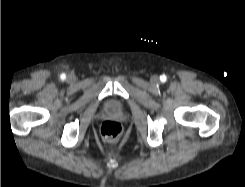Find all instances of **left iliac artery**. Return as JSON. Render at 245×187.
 I'll return each mask as SVG.
<instances>
[{"mask_svg": "<svg viewBox=\"0 0 245 187\" xmlns=\"http://www.w3.org/2000/svg\"><path fill=\"white\" fill-rule=\"evenodd\" d=\"M166 76L165 75H162V76H160V80L162 81V82H165L166 81Z\"/></svg>", "mask_w": 245, "mask_h": 187, "instance_id": "left-iliac-artery-1", "label": "left iliac artery"}]
</instances>
